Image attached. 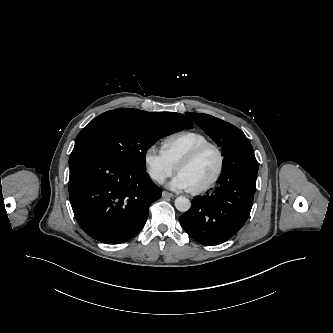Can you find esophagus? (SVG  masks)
Segmentation results:
<instances>
[{"label": "esophagus", "instance_id": "esophagus-1", "mask_svg": "<svg viewBox=\"0 0 333 333\" xmlns=\"http://www.w3.org/2000/svg\"><path fill=\"white\" fill-rule=\"evenodd\" d=\"M162 197H164V198H172L173 194L170 193V192H167V191H163L162 192Z\"/></svg>", "mask_w": 333, "mask_h": 333}]
</instances>
